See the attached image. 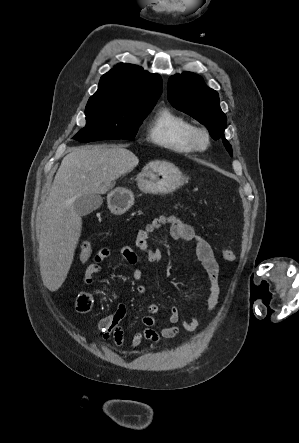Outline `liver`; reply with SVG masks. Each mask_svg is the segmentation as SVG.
<instances>
[{"mask_svg": "<svg viewBox=\"0 0 299 443\" xmlns=\"http://www.w3.org/2000/svg\"><path fill=\"white\" fill-rule=\"evenodd\" d=\"M138 163L123 146L79 147L63 158L41 214L39 262L48 290L57 291L64 283L81 235L74 201L84 194H105Z\"/></svg>", "mask_w": 299, "mask_h": 443, "instance_id": "1", "label": "liver"}]
</instances>
